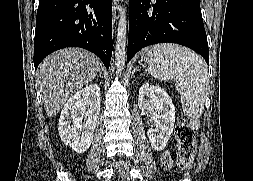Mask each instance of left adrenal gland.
Listing matches in <instances>:
<instances>
[{"instance_id": "left-adrenal-gland-1", "label": "left adrenal gland", "mask_w": 253, "mask_h": 181, "mask_svg": "<svg viewBox=\"0 0 253 181\" xmlns=\"http://www.w3.org/2000/svg\"><path fill=\"white\" fill-rule=\"evenodd\" d=\"M134 71H139V68H138V67H137V68H135V69H134Z\"/></svg>"}]
</instances>
